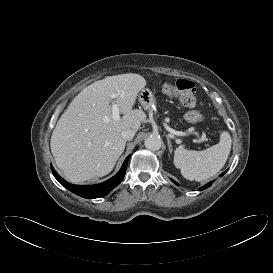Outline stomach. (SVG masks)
<instances>
[{
    "label": "stomach",
    "instance_id": "stomach-1",
    "mask_svg": "<svg viewBox=\"0 0 273 273\" xmlns=\"http://www.w3.org/2000/svg\"><path fill=\"white\" fill-rule=\"evenodd\" d=\"M162 88L169 89V85L167 83H161ZM139 102L141 106L147 110V111H153L155 110L156 107V99L149 89H142L140 94H139Z\"/></svg>",
    "mask_w": 273,
    "mask_h": 273
}]
</instances>
